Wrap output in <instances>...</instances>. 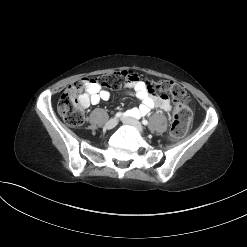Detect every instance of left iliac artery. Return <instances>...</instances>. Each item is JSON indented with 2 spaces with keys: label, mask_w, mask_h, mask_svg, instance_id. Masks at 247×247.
<instances>
[{
  "label": "left iliac artery",
  "mask_w": 247,
  "mask_h": 247,
  "mask_svg": "<svg viewBox=\"0 0 247 247\" xmlns=\"http://www.w3.org/2000/svg\"><path fill=\"white\" fill-rule=\"evenodd\" d=\"M142 124L146 126V125H148V121L146 119H143Z\"/></svg>",
  "instance_id": "obj_1"
}]
</instances>
